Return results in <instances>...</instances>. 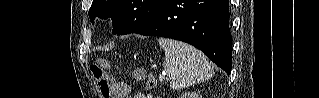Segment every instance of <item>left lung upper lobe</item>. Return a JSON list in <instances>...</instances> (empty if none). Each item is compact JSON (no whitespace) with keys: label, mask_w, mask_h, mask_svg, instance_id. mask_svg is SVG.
I'll return each mask as SVG.
<instances>
[{"label":"left lung upper lobe","mask_w":319,"mask_h":98,"mask_svg":"<svg viewBox=\"0 0 319 98\" xmlns=\"http://www.w3.org/2000/svg\"><path fill=\"white\" fill-rule=\"evenodd\" d=\"M162 0H93L89 18L111 17L114 34L134 33L153 15Z\"/></svg>","instance_id":"5c2ea615"}]
</instances>
